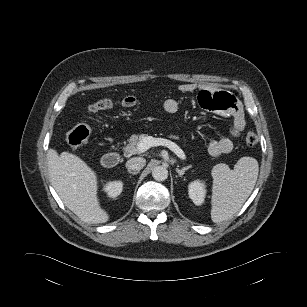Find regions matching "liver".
I'll use <instances>...</instances> for the list:
<instances>
[{
    "label": "liver",
    "mask_w": 307,
    "mask_h": 307,
    "mask_svg": "<svg viewBox=\"0 0 307 307\" xmlns=\"http://www.w3.org/2000/svg\"><path fill=\"white\" fill-rule=\"evenodd\" d=\"M47 163L52 186L67 208L85 223L99 224L109 220L97 197L96 173L81 158L49 149Z\"/></svg>",
    "instance_id": "liver-1"
}]
</instances>
